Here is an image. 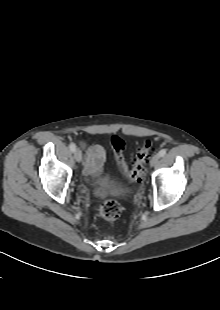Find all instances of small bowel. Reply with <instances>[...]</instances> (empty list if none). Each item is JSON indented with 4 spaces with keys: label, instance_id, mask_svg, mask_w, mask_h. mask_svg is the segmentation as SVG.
<instances>
[{
    "label": "small bowel",
    "instance_id": "obj_1",
    "mask_svg": "<svg viewBox=\"0 0 220 310\" xmlns=\"http://www.w3.org/2000/svg\"><path fill=\"white\" fill-rule=\"evenodd\" d=\"M84 151V175L86 178H96L100 175L107 160L105 149L101 145H88L87 142H80Z\"/></svg>",
    "mask_w": 220,
    "mask_h": 310
}]
</instances>
